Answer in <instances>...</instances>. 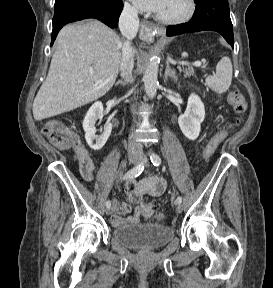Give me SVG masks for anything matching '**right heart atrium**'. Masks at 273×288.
<instances>
[{
  "label": "right heart atrium",
  "instance_id": "d8ad5b80",
  "mask_svg": "<svg viewBox=\"0 0 273 288\" xmlns=\"http://www.w3.org/2000/svg\"><path fill=\"white\" fill-rule=\"evenodd\" d=\"M124 11L131 16H135L137 14V10L129 3L124 4Z\"/></svg>",
  "mask_w": 273,
  "mask_h": 288
}]
</instances>
